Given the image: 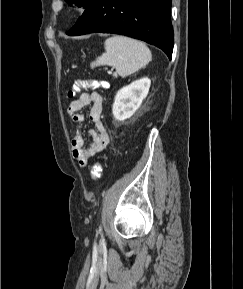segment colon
<instances>
[{"mask_svg":"<svg viewBox=\"0 0 243 289\" xmlns=\"http://www.w3.org/2000/svg\"><path fill=\"white\" fill-rule=\"evenodd\" d=\"M101 86V83L95 80H86V79H78L74 82L71 89L68 91V96L73 97L78 92L81 91V89L86 88H97ZM102 168L99 163H95L91 168V178L92 180H97L101 176Z\"/></svg>","mask_w":243,"mask_h":289,"instance_id":"colon-1","label":"colon"}]
</instances>
